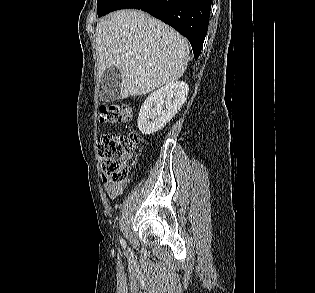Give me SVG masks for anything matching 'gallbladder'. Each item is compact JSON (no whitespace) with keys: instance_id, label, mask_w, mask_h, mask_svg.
<instances>
[{"instance_id":"gallbladder-1","label":"gallbladder","mask_w":315,"mask_h":293,"mask_svg":"<svg viewBox=\"0 0 315 293\" xmlns=\"http://www.w3.org/2000/svg\"><path fill=\"white\" fill-rule=\"evenodd\" d=\"M100 82L104 90L102 100L110 102L119 99L121 72L117 67H108L101 76Z\"/></svg>"}]
</instances>
